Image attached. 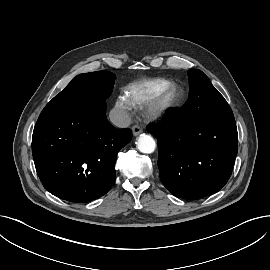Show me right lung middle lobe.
I'll list each match as a JSON object with an SVG mask.
<instances>
[{"instance_id": "1", "label": "right lung middle lobe", "mask_w": 270, "mask_h": 270, "mask_svg": "<svg viewBox=\"0 0 270 270\" xmlns=\"http://www.w3.org/2000/svg\"><path fill=\"white\" fill-rule=\"evenodd\" d=\"M115 78L108 71L80 74L46 105L41 114L83 109L105 102L112 92Z\"/></svg>"}]
</instances>
